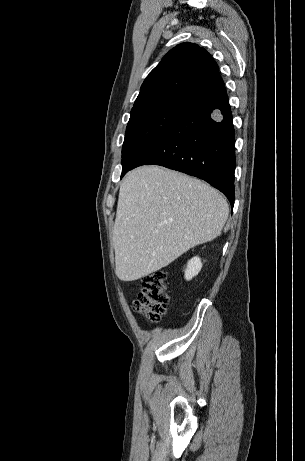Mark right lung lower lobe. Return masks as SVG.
<instances>
[{
	"label": "right lung lower lobe",
	"instance_id": "98d812e1",
	"mask_svg": "<svg viewBox=\"0 0 305 461\" xmlns=\"http://www.w3.org/2000/svg\"><path fill=\"white\" fill-rule=\"evenodd\" d=\"M157 164L207 181L234 202L235 133L225 87L190 106L134 164Z\"/></svg>",
	"mask_w": 305,
	"mask_h": 461
}]
</instances>
